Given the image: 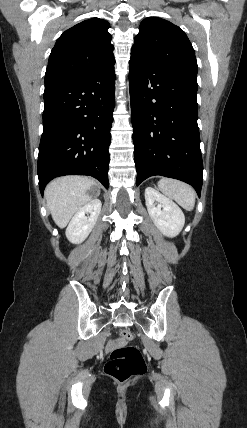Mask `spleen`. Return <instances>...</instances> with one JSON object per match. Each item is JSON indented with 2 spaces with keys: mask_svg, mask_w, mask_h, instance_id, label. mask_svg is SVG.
<instances>
[{
  "mask_svg": "<svg viewBox=\"0 0 247 428\" xmlns=\"http://www.w3.org/2000/svg\"><path fill=\"white\" fill-rule=\"evenodd\" d=\"M158 188L185 210L194 209L196 193L190 185L176 179L162 178L158 182Z\"/></svg>",
  "mask_w": 247,
  "mask_h": 428,
  "instance_id": "1",
  "label": "spleen"
}]
</instances>
